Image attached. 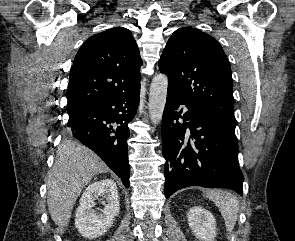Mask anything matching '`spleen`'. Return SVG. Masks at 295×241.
Wrapping results in <instances>:
<instances>
[{"instance_id": "obj_1", "label": "spleen", "mask_w": 295, "mask_h": 241, "mask_svg": "<svg viewBox=\"0 0 295 241\" xmlns=\"http://www.w3.org/2000/svg\"><path fill=\"white\" fill-rule=\"evenodd\" d=\"M206 197L212 200L219 208L225 221L227 231L231 232L236 224L239 212V201L237 197L224 190H210Z\"/></svg>"}]
</instances>
